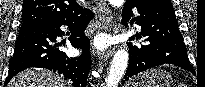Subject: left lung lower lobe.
Wrapping results in <instances>:
<instances>
[{
  "label": "left lung lower lobe",
  "mask_w": 205,
  "mask_h": 87,
  "mask_svg": "<svg viewBox=\"0 0 205 87\" xmlns=\"http://www.w3.org/2000/svg\"><path fill=\"white\" fill-rule=\"evenodd\" d=\"M133 9H137L139 15L131 22L136 21L141 26V34L136 35V38L145 37L146 43L128 45L129 64L123 83L144 70L163 64H174L192 71L171 1L126 0L123 25L128 26Z\"/></svg>",
  "instance_id": "left-lung-lower-lobe-1"
}]
</instances>
